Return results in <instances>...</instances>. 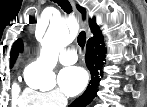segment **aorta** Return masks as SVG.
Segmentation results:
<instances>
[{
  "label": "aorta",
  "instance_id": "aorta-1",
  "mask_svg": "<svg viewBox=\"0 0 147 107\" xmlns=\"http://www.w3.org/2000/svg\"><path fill=\"white\" fill-rule=\"evenodd\" d=\"M71 42V35L63 21H52L41 40L42 49L39 58L28 66L34 76V86L50 90L55 86L53 69L58 62L60 49Z\"/></svg>",
  "mask_w": 147,
  "mask_h": 107
}]
</instances>
